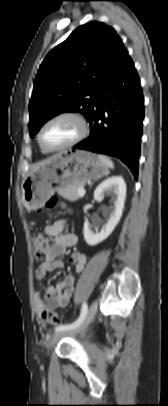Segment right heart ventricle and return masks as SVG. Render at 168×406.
<instances>
[{
	"mask_svg": "<svg viewBox=\"0 0 168 406\" xmlns=\"http://www.w3.org/2000/svg\"><path fill=\"white\" fill-rule=\"evenodd\" d=\"M42 152H43V153H47V151H45V150H43V149H42Z\"/></svg>",
	"mask_w": 168,
	"mask_h": 406,
	"instance_id": "right-heart-ventricle-1",
	"label": "right heart ventricle"
}]
</instances>
